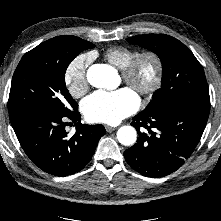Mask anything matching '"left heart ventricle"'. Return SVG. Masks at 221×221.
I'll return each instance as SVG.
<instances>
[{
	"mask_svg": "<svg viewBox=\"0 0 221 221\" xmlns=\"http://www.w3.org/2000/svg\"><path fill=\"white\" fill-rule=\"evenodd\" d=\"M154 74V65L150 60H146L142 63L138 72V82L142 85L148 84Z\"/></svg>",
	"mask_w": 221,
	"mask_h": 221,
	"instance_id": "b2bd125f",
	"label": "left heart ventricle"
}]
</instances>
